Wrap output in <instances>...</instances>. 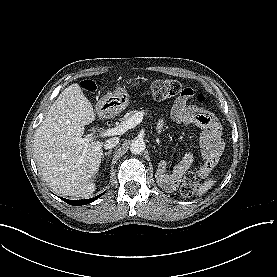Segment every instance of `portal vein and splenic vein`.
<instances>
[{
	"label": "portal vein and splenic vein",
	"instance_id": "obj_1",
	"mask_svg": "<svg viewBox=\"0 0 277 277\" xmlns=\"http://www.w3.org/2000/svg\"><path fill=\"white\" fill-rule=\"evenodd\" d=\"M144 113L143 112H137L133 116H131L127 121H125L122 124L117 125L114 128H109L105 131L100 132L101 137H107V136H114V135H121L124 134L129 129L134 128L136 125H138L142 119H143ZM93 140L92 136H88L85 138H77V141L86 144L89 141Z\"/></svg>",
	"mask_w": 277,
	"mask_h": 277
}]
</instances>
